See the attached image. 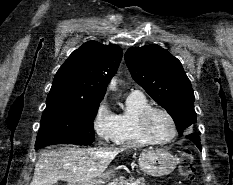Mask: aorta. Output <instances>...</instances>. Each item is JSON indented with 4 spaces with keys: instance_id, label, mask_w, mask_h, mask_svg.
<instances>
[{
    "instance_id": "obj_1",
    "label": "aorta",
    "mask_w": 233,
    "mask_h": 185,
    "mask_svg": "<svg viewBox=\"0 0 233 185\" xmlns=\"http://www.w3.org/2000/svg\"><path fill=\"white\" fill-rule=\"evenodd\" d=\"M109 89L110 90H115L116 89V79H112V81L109 84Z\"/></svg>"
}]
</instances>
